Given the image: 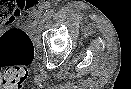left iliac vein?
<instances>
[{"label": "left iliac vein", "instance_id": "left-iliac-vein-1", "mask_svg": "<svg viewBox=\"0 0 131 89\" xmlns=\"http://www.w3.org/2000/svg\"><path fill=\"white\" fill-rule=\"evenodd\" d=\"M41 23H42V21H41ZM38 29L41 30V29H42V25H40V26L38 27Z\"/></svg>", "mask_w": 131, "mask_h": 89}]
</instances>
